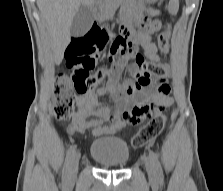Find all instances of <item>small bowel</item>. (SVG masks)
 Masks as SVG:
<instances>
[{"instance_id": "1", "label": "small bowel", "mask_w": 223, "mask_h": 191, "mask_svg": "<svg viewBox=\"0 0 223 191\" xmlns=\"http://www.w3.org/2000/svg\"><path fill=\"white\" fill-rule=\"evenodd\" d=\"M148 13L156 14L152 8L148 9ZM93 27L101 29L97 25ZM143 27L142 31L136 32L124 25L121 32L127 37H132L149 59L159 63L153 35L159 31L161 23L157 19L145 20ZM131 85H134V80H127L121 88L118 81L113 79L107 85L79 96L76 101L78 111L68 125L67 133L74 135L91 130L96 137L115 134L123 130L127 124L142 123L155 109L172 103L169 96L170 85L166 78H155L151 84L142 87ZM107 94L112 98L114 105L101 101V97Z\"/></svg>"}]
</instances>
